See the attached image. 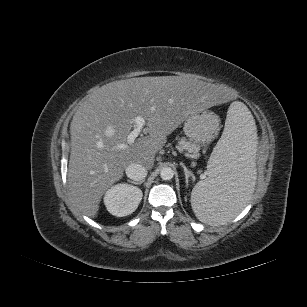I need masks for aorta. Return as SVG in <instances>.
<instances>
[{"mask_svg":"<svg viewBox=\"0 0 307 307\" xmlns=\"http://www.w3.org/2000/svg\"><path fill=\"white\" fill-rule=\"evenodd\" d=\"M174 176V171L170 167H163L160 171V177L163 180H171Z\"/></svg>","mask_w":307,"mask_h":307,"instance_id":"obj_1","label":"aorta"}]
</instances>
